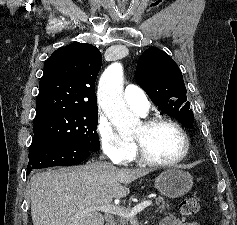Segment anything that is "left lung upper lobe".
Instances as JSON below:
<instances>
[{
  "mask_svg": "<svg viewBox=\"0 0 237 225\" xmlns=\"http://www.w3.org/2000/svg\"><path fill=\"white\" fill-rule=\"evenodd\" d=\"M136 81L162 111L176 117L185 127L193 124L182 72L164 51L149 48L143 52L137 63Z\"/></svg>",
  "mask_w": 237,
  "mask_h": 225,
  "instance_id": "5c2ea615",
  "label": "left lung upper lobe"
}]
</instances>
